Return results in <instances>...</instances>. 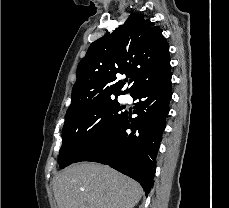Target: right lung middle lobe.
<instances>
[{
    "instance_id": "obj_1",
    "label": "right lung middle lobe",
    "mask_w": 229,
    "mask_h": 208,
    "mask_svg": "<svg viewBox=\"0 0 229 208\" xmlns=\"http://www.w3.org/2000/svg\"><path fill=\"white\" fill-rule=\"evenodd\" d=\"M123 115L116 97L99 102L80 114L66 117L58 156L60 168L72 164L85 150L114 129Z\"/></svg>"
}]
</instances>
